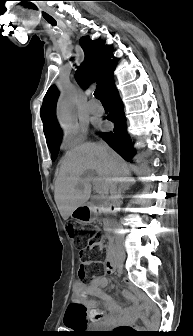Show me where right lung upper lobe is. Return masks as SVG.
Segmentation results:
<instances>
[{"instance_id":"obj_1","label":"right lung upper lobe","mask_w":193,"mask_h":336,"mask_svg":"<svg viewBox=\"0 0 193 336\" xmlns=\"http://www.w3.org/2000/svg\"><path fill=\"white\" fill-rule=\"evenodd\" d=\"M80 45L85 53V60L81 66L85 70L87 77L84 79L76 73V80L83 88H87L91 83L97 82V88L104 94L108 85L113 81V71L116 62L115 59L110 60L112 57L111 49L109 46H102L99 40L92 41L85 37L80 39ZM58 96L59 91L57 88L54 85L51 86L44 97L40 111L47 143L62 134L55 118Z\"/></svg>"}]
</instances>
